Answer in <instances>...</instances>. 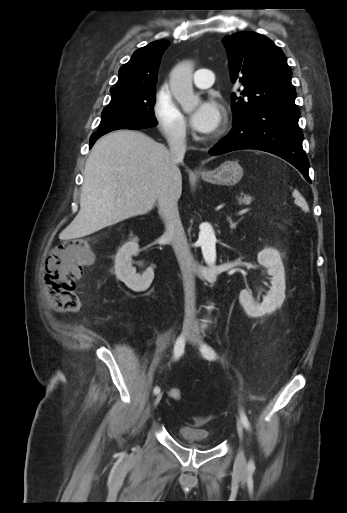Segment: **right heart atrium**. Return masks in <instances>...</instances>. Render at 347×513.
<instances>
[{
    "label": "right heart atrium",
    "instance_id": "1",
    "mask_svg": "<svg viewBox=\"0 0 347 513\" xmlns=\"http://www.w3.org/2000/svg\"><path fill=\"white\" fill-rule=\"evenodd\" d=\"M152 114L159 131L166 140L172 143L186 140L188 136L187 121L176 104L167 83H163L154 94Z\"/></svg>",
    "mask_w": 347,
    "mask_h": 513
}]
</instances>
